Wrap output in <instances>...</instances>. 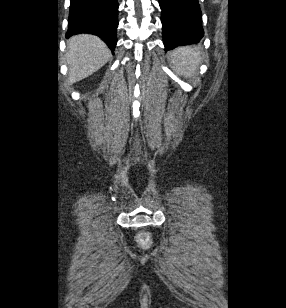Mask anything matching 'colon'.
<instances>
[{
    "label": "colon",
    "instance_id": "obj_1",
    "mask_svg": "<svg viewBox=\"0 0 286 308\" xmlns=\"http://www.w3.org/2000/svg\"><path fill=\"white\" fill-rule=\"evenodd\" d=\"M138 240L142 245H148L150 243V236L146 232H141L138 235Z\"/></svg>",
    "mask_w": 286,
    "mask_h": 308
}]
</instances>
